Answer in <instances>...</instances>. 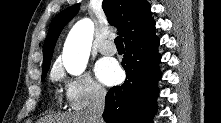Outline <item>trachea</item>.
Wrapping results in <instances>:
<instances>
[{
  "mask_svg": "<svg viewBox=\"0 0 221 123\" xmlns=\"http://www.w3.org/2000/svg\"><path fill=\"white\" fill-rule=\"evenodd\" d=\"M117 48H124L123 39L121 36H117L114 40Z\"/></svg>",
  "mask_w": 221,
  "mask_h": 123,
  "instance_id": "obj_1",
  "label": "trachea"
}]
</instances>
